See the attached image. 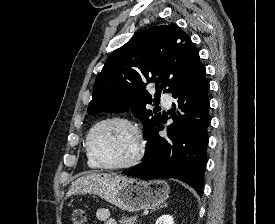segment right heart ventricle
I'll return each mask as SVG.
<instances>
[{"label": "right heart ventricle", "mask_w": 275, "mask_h": 224, "mask_svg": "<svg viewBox=\"0 0 275 224\" xmlns=\"http://www.w3.org/2000/svg\"><path fill=\"white\" fill-rule=\"evenodd\" d=\"M85 155H86V162H87V165H88L90 168H98V167H99V166L95 163V161L90 157V155L88 154L86 147H85Z\"/></svg>", "instance_id": "obj_1"}]
</instances>
